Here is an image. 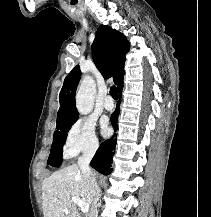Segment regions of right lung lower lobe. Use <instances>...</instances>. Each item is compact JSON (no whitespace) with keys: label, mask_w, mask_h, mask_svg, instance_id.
I'll list each match as a JSON object with an SVG mask.
<instances>
[{"label":"right lung lower lobe","mask_w":211,"mask_h":217,"mask_svg":"<svg viewBox=\"0 0 211 217\" xmlns=\"http://www.w3.org/2000/svg\"><path fill=\"white\" fill-rule=\"evenodd\" d=\"M121 91H122V87L119 89L120 95H121ZM118 115H119V109L117 108L111 116V122L114 129L116 128L117 125ZM115 144H116L115 135H113L112 138L103 142L100 145L99 149L97 150L94 158L90 163L91 167H93L98 172L104 175H109L112 171L111 164H112V157L114 154Z\"/></svg>","instance_id":"right-lung-lower-lobe-1"}]
</instances>
